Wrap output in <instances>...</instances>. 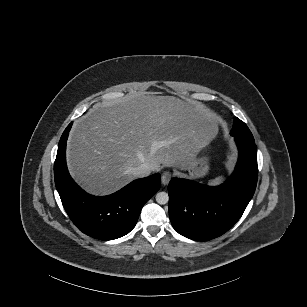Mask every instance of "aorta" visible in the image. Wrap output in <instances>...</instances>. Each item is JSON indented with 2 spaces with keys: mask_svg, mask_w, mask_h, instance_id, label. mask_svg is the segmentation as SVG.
I'll list each match as a JSON object with an SVG mask.
<instances>
[{
  "mask_svg": "<svg viewBox=\"0 0 307 307\" xmlns=\"http://www.w3.org/2000/svg\"><path fill=\"white\" fill-rule=\"evenodd\" d=\"M168 194L166 192H158L156 194V202L160 205L166 204L168 202Z\"/></svg>",
  "mask_w": 307,
  "mask_h": 307,
  "instance_id": "762f6f07",
  "label": "aorta"
}]
</instances>
